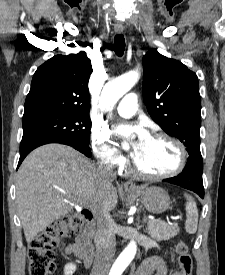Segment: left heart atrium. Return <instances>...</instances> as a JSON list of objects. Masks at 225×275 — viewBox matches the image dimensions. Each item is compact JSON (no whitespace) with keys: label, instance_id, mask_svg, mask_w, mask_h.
Masks as SVG:
<instances>
[{"label":"left heart atrium","instance_id":"obj_1","mask_svg":"<svg viewBox=\"0 0 225 275\" xmlns=\"http://www.w3.org/2000/svg\"><path fill=\"white\" fill-rule=\"evenodd\" d=\"M117 134L123 138H128L131 135L136 136L131 156L135 159L137 157L140 147L150 137L149 133L140 125H121L116 130Z\"/></svg>","mask_w":225,"mask_h":275}]
</instances>
